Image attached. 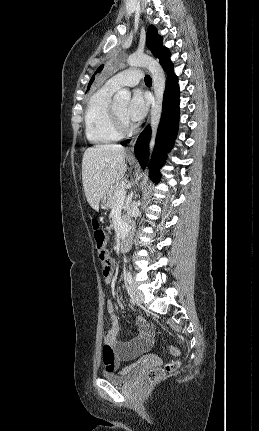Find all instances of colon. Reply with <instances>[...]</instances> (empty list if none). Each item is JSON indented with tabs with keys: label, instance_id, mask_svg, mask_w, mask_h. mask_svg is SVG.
I'll return each instance as SVG.
<instances>
[{
	"label": "colon",
	"instance_id": "obj_1",
	"mask_svg": "<svg viewBox=\"0 0 259 431\" xmlns=\"http://www.w3.org/2000/svg\"><path fill=\"white\" fill-rule=\"evenodd\" d=\"M92 227L95 245L99 252L101 267L110 266L112 268V259L106 245V233L99 222L96 220H93ZM103 352L107 357L112 356V350L107 344L104 346ZM169 352L174 356L179 355V350L175 347H170ZM178 367L179 361L173 360L166 364L163 368L152 369L147 373V381L150 383L156 382L167 373L175 371Z\"/></svg>",
	"mask_w": 259,
	"mask_h": 431
}]
</instances>
